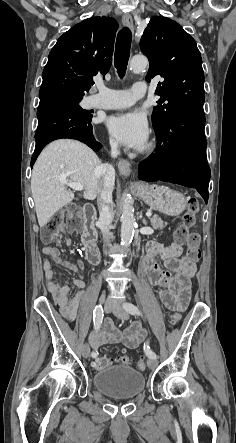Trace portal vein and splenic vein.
Returning a JSON list of instances; mask_svg holds the SVG:
<instances>
[{
	"label": "portal vein and splenic vein",
	"mask_w": 236,
	"mask_h": 443,
	"mask_svg": "<svg viewBox=\"0 0 236 443\" xmlns=\"http://www.w3.org/2000/svg\"><path fill=\"white\" fill-rule=\"evenodd\" d=\"M60 181H61V183L69 186L70 188H72L73 190L82 191L84 189L83 185H81L79 183H76V182H68L65 178H60ZM146 216L147 217H151L152 213L151 212H147Z\"/></svg>",
	"instance_id": "1"
}]
</instances>
